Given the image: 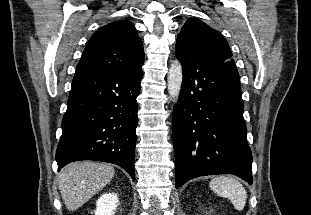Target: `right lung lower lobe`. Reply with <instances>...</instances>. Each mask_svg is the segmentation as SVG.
I'll use <instances>...</instances> for the list:
<instances>
[{
    "mask_svg": "<svg viewBox=\"0 0 311 215\" xmlns=\"http://www.w3.org/2000/svg\"><path fill=\"white\" fill-rule=\"evenodd\" d=\"M143 72L76 70L62 136L56 151L58 168L78 160L109 162L135 179L134 153Z\"/></svg>",
    "mask_w": 311,
    "mask_h": 215,
    "instance_id": "98d812e1",
    "label": "right lung lower lobe"
}]
</instances>
